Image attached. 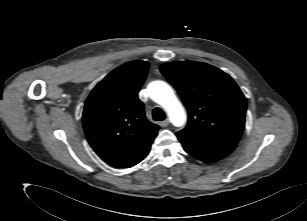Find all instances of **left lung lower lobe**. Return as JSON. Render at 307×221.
Segmentation results:
<instances>
[{"instance_id":"1","label":"left lung lower lobe","mask_w":307,"mask_h":221,"mask_svg":"<svg viewBox=\"0 0 307 221\" xmlns=\"http://www.w3.org/2000/svg\"><path fill=\"white\" fill-rule=\"evenodd\" d=\"M176 135L187 153L207 163L225 158L236 147L233 143L201 139L180 132Z\"/></svg>"}]
</instances>
